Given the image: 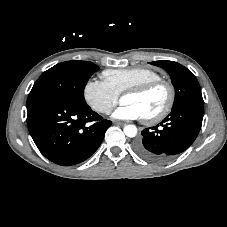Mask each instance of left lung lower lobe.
Masks as SVG:
<instances>
[{
    "label": "left lung lower lobe",
    "instance_id": "obj_1",
    "mask_svg": "<svg viewBox=\"0 0 227 227\" xmlns=\"http://www.w3.org/2000/svg\"><path fill=\"white\" fill-rule=\"evenodd\" d=\"M202 103L188 102L172 108L158 125L144 129L134 144L136 153L152 162H164L189 148L202 125Z\"/></svg>",
    "mask_w": 227,
    "mask_h": 227
}]
</instances>
